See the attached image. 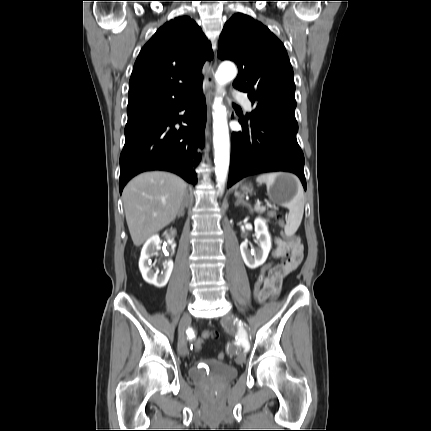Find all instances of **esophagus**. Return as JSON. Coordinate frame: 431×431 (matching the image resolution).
I'll use <instances>...</instances> for the list:
<instances>
[{
    "label": "esophagus",
    "instance_id": "34e87169",
    "mask_svg": "<svg viewBox=\"0 0 431 431\" xmlns=\"http://www.w3.org/2000/svg\"><path fill=\"white\" fill-rule=\"evenodd\" d=\"M216 63L210 65L207 71L206 77V99L208 104H210L212 96L215 92V81H214V72H215Z\"/></svg>",
    "mask_w": 431,
    "mask_h": 431
}]
</instances>
